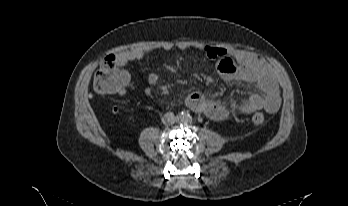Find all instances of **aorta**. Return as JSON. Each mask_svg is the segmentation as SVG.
Returning <instances> with one entry per match:
<instances>
[{"mask_svg":"<svg viewBox=\"0 0 348 206\" xmlns=\"http://www.w3.org/2000/svg\"><path fill=\"white\" fill-rule=\"evenodd\" d=\"M191 120L190 115L186 113H181L178 117V121L182 124H187Z\"/></svg>","mask_w":348,"mask_h":206,"instance_id":"762f6f07","label":"aorta"}]
</instances>
